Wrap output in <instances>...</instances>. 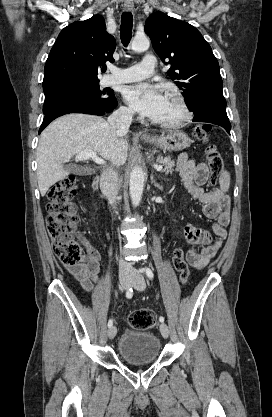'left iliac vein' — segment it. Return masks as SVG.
Masks as SVG:
<instances>
[{"mask_svg":"<svg viewBox=\"0 0 272 417\" xmlns=\"http://www.w3.org/2000/svg\"><path fill=\"white\" fill-rule=\"evenodd\" d=\"M132 285L133 287L138 290V291H143L145 289V280L143 275L141 274L140 271H136L133 275V280H132ZM160 332L162 334V336L164 338H167L169 335V329L168 326L165 323H161L160 324Z\"/></svg>","mask_w":272,"mask_h":417,"instance_id":"left-iliac-vein-1","label":"left iliac vein"}]
</instances>
